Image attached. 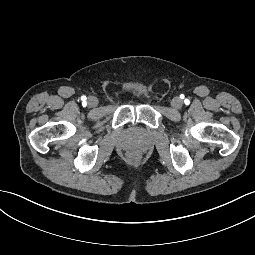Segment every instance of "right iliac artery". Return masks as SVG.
<instances>
[{
    "label": "right iliac artery",
    "instance_id": "82829eb1",
    "mask_svg": "<svg viewBox=\"0 0 255 255\" xmlns=\"http://www.w3.org/2000/svg\"><path fill=\"white\" fill-rule=\"evenodd\" d=\"M82 100L85 102V100H86V97H85V96H83V97H82Z\"/></svg>",
    "mask_w": 255,
    "mask_h": 255
}]
</instances>
